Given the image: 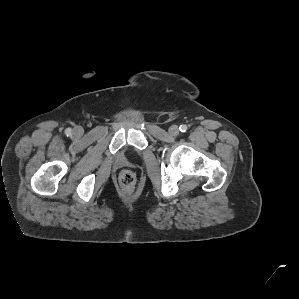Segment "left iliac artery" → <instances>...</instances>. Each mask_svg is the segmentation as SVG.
<instances>
[{
  "label": "left iliac artery",
  "instance_id": "left-iliac-artery-1",
  "mask_svg": "<svg viewBox=\"0 0 299 299\" xmlns=\"http://www.w3.org/2000/svg\"><path fill=\"white\" fill-rule=\"evenodd\" d=\"M179 129H180L181 132H186L187 131V126L186 125H181L179 127Z\"/></svg>",
  "mask_w": 299,
  "mask_h": 299
}]
</instances>
